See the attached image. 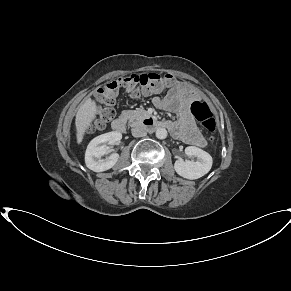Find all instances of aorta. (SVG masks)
I'll return each instance as SVG.
<instances>
[{
  "instance_id": "762f6f07",
  "label": "aorta",
  "mask_w": 291,
  "mask_h": 291,
  "mask_svg": "<svg viewBox=\"0 0 291 291\" xmlns=\"http://www.w3.org/2000/svg\"><path fill=\"white\" fill-rule=\"evenodd\" d=\"M156 137L158 139H165L167 137V130L165 128H158L156 130Z\"/></svg>"
}]
</instances>
